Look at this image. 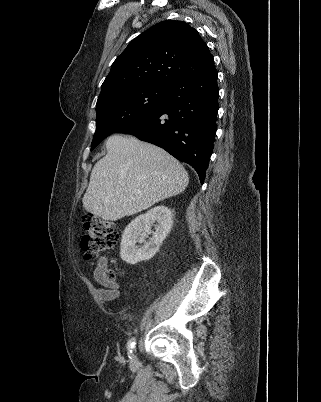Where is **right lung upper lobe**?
Instances as JSON below:
<instances>
[{"instance_id": "obj_1", "label": "right lung upper lobe", "mask_w": 321, "mask_h": 402, "mask_svg": "<svg viewBox=\"0 0 321 402\" xmlns=\"http://www.w3.org/2000/svg\"><path fill=\"white\" fill-rule=\"evenodd\" d=\"M214 63L199 33L183 21H162L132 40L116 58L97 102L147 86L167 87Z\"/></svg>"}]
</instances>
